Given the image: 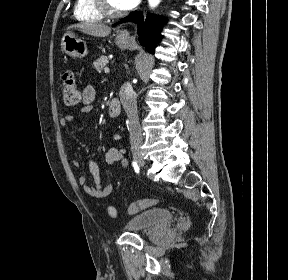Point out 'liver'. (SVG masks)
<instances>
[{
	"label": "liver",
	"instance_id": "1",
	"mask_svg": "<svg viewBox=\"0 0 288 280\" xmlns=\"http://www.w3.org/2000/svg\"><path fill=\"white\" fill-rule=\"evenodd\" d=\"M70 28L79 29L81 32L94 37H106L111 32L110 27L100 23H78Z\"/></svg>",
	"mask_w": 288,
	"mask_h": 280
}]
</instances>
